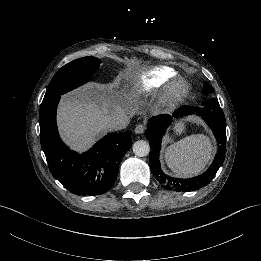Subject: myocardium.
Masks as SVG:
<instances>
[{
    "label": "myocardium",
    "instance_id": "myocardium-1",
    "mask_svg": "<svg viewBox=\"0 0 261 261\" xmlns=\"http://www.w3.org/2000/svg\"><path fill=\"white\" fill-rule=\"evenodd\" d=\"M190 86L186 79L182 77L174 78L169 86L168 102H178L187 96Z\"/></svg>",
    "mask_w": 261,
    "mask_h": 261
}]
</instances>
